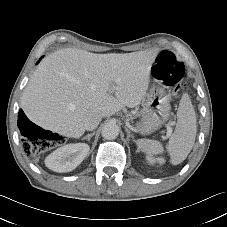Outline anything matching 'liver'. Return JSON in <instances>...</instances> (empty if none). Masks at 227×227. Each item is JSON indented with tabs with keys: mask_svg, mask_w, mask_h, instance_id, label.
Returning <instances> with one entry per match:
<instances>
[{
	"mask_svg": "<svg viewBox=\"0 0 227 227\" xmlns=\"http://www.w3.org/2000/svg\"><path fill=\"white\" fill-rule=\"evenodd\" d=\"M154 51L95 54L62 49L33 73L21 107L33 123L59 135L79 138L91 113L111 116L134 108L146 96Z\"/></svg>",
	"mask_w": 227,
	"mask_h": 227,
	"instance_id": "liver-1",
	"label": "liver"
}]
</instances>
